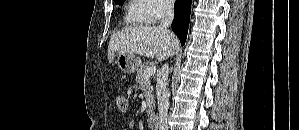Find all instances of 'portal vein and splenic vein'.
<instances>
[{
  "label": "portal vein and splenic vein",
  "mask_w": 299,
  "mask_h": 130,
  "mask_svg": "<svg viewBox=\"0 0 299 130\" xmlns=\"http://www.w3.org/2000/svg\"><path fill=\"white\" fill-rule=\"evenodd\" d=\"M155 72H156V67L150 66L144 71V77L150 78V76H152Z\"/></svg>",
  "instance_id": "portal-vein-and-splenic-vein-1"
}]
</instances>
